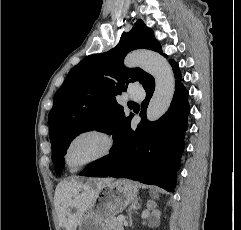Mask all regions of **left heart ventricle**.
<instances>
[{"instance_id": "b2bd125f", "label": "left heart ventricle", "mask_w": 241, "mask_h": 230, "mask_svg": "<svg viewBox=\"0 0 241 230\" xmlns=\"http://www.w3.org/2000/svg\"><path fill=\"white\" fill-rule=\"evenodd\" d=\"M104 141L96 135H84L76 139L70 146L68 162L71 167L95 157L104 149Z\"/></svg>"}]
</instances>
